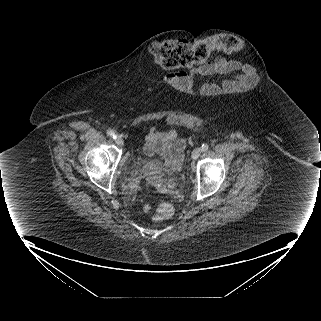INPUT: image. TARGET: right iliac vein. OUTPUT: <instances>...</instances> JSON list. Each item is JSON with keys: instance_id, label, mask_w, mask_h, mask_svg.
Returning a JSON list of instances; mask_svg holds the SVG:
<instances>
[{"instance_id": "right-iliac-vein-1", "label": "right iliac vein", "mask_w": 321, "mask_h": 321, "mask_svg": "<svg viewBox=\"0 0 321 321\" xmlns=\"http://www.w3.org/2000/svg\"><path fill=\"white\" fill-rule=\"evenodd\" d=\"M115 142L119 147H123L124 146V140L122 139L121 136H116Z\"/></svg>"}]
</instances>
